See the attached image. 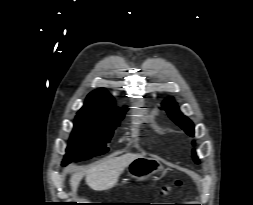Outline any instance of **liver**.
I'll use <instances>...</instances> for the list:
<instances>
[{"label": "liver", "mask_w": 253, "mask_h": 205, "mask_svg": "<svg viewBox=\"0 0 253 205\" xmlns=\"http://www.w3.org/2000/svg\"><path fill=\"white\" fill-rule=\"evenodd\" d=\"M139 154H125L119 157L106 159L99 164L92 166L85 171L86 184L95 191H102L113 186L117 182L120 174L129 166V164ZM84 176L83 172H75L70 177V186L75 193L79 186L80 181Z\"/></svg>", "instance_id": "liver-1"}]
</instances>
